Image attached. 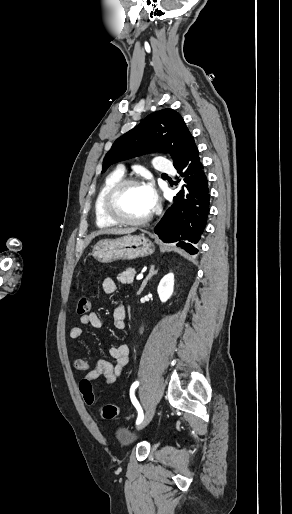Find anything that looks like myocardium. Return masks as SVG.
<instances>
[{
    "instance_id": "obj_1",
    "label": "myocardium",
    "mask_w": 292,
    "mask_h": 514,
    "mask_svg": "<svg viewBox=\"0 0 292 514\" xmlns=\"http://www.w3.org/2000/svg\"><path fill=\"white\" fill-rule=\"evenodd\" d=\"M141 186L135 178H122L106 189L102 196L101 206L104 215L113 223L121 225L138 226L146 223L151 215L152 209L143 217L138 219H126L121 217L113 208V198L122 189L127 187Z\"/></svg>"
}]
</instances>
